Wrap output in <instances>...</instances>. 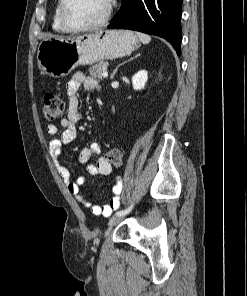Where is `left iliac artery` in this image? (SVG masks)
I'll list each match as a JSON object with an SVG mask.
<instances>
[{"mask_svg":"<svg viewBox=\"0 0 247 296\" xmlns=\"http://www.w3.org/2000/svg\"><path fill=\"white\" fill-rule=\"evenodd\" d=\"M133 204L125 210H121L115 213V215H125L131 211Z\"/></svg>","mask_w":247,"mask_h":296,"instance_id":"obj_1","label":"left iliac artery"}]
</instances>
